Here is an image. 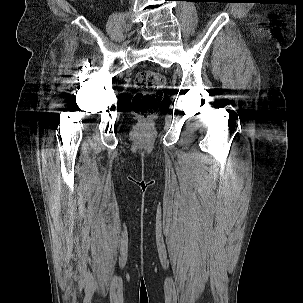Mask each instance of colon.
Wrapping results in <instances>:
<instances>
[{
    "instance_id": "colon-1",
    "label": "colon",
    "mask_w": 303,
    "mask_h": 303,
    "mask_svg": "<svg viewBox=\"0 0 303 303\" xmlns=\"http://www.w3.org/2000/svg\"><path fill=\"white\" fill-rule=\"evenodd\" d=\"M164 86L165 79L160 73L150 70L138 73L135 78L138 92L133 97V103L142 117L148 118L167 102Z\"/></svg>"
}]
</instances>
